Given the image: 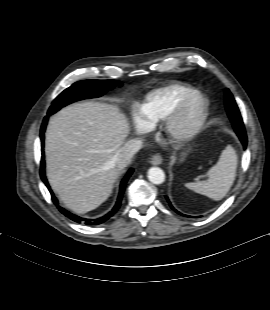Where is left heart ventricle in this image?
<instances>
[{"mask_svg":"<svg viewBox=\"0 0 270 310\" xmlns=\"http://www.w3.org/2000/svg\"><path fill=\"white\" fill-rule=\"evenodd\" d=\"M196 113H197V105L196 103H193L183 114L182 119H181V124L185 125L191 122L193 118L195 117Z\"/></svg>","mask_w":270,"mask_h":310,"instance_id":"obj_1","label":"left heart ventricle"}]
</instances>
